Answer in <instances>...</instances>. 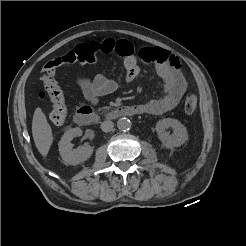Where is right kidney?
I'll return each mask as SVG.
<instances>
[{
  "label": "right kidney",
  "mask_w": 246,
  "mask_h": 246,
  "mask_svg": "<svg viewBox=\"0 0 246 246\" xmlns=\"http://www.w3.org/2000/svg\"><path fill=\"white\" fill-rule=\"evenodd\" d=\"M81 134L82 130L77 127L67 130L62 136L58 145L59 153L65 164L77 165L83 163L93 154V147L90 145H83L77 149L72 148V139Z\"/></svg>",
  "instance_id": "ca27d5eb"
}]
</instances>
